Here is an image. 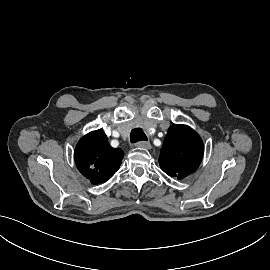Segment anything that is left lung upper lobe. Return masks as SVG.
I'll return each mask as SVG.
<instances>
[{"label":"left lung upper lobe","instance_id":"left-lung-upper-lobe-1","mask_svg":"<svg viewBox=\"0 0 270 270\" xmlns=\"http://www.w3.org/2000/svg\"><path fill=\"white\" fill-rule=\"evenodd\" d=\"M203 153L199 135L189 126L174 124L164 139L159 164L169 176L182 179L199 167Z\"/></svg>","mask_w":270,"mask_h":270}]
</instances>
